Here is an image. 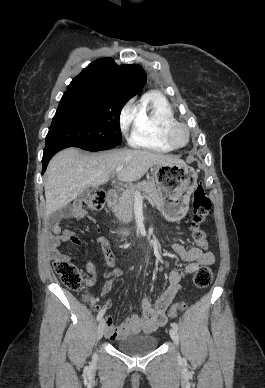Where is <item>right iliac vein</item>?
I'll use <instances>...</instances> for the list:
<instances>
[{"mask_svg":"<svg viewBox=\"0 0 265 388\" xmlns=\"http://www.w3.org/2000/svg\"><path fill=\"white\" fill-rule=\"evenodd\" d=\"M104 329H105V323H104V319H102L98 325V329H97V340H100L103 336V333H104Z\"/></svg>","mask_w":265,"mask_h":388,"instance_id":"obj_1","label":"right iliac vein"}]
</instances>
